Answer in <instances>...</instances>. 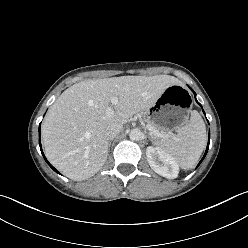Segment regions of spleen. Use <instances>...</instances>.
Wrapping results in <instances>:
<instances>
[{"instance_id":"spleen-1","label":"spleen","mask_w":248,"mask_h":248,"mask_svg":"<svg viewBox=\"0 0 248 248\" xmlns=\"http://www.w3.org/2000/svg\"><path fill=\"white\" fill-rule=\"evenodd\" d=\"M206 127L197 111H192L190 120L169 140L156 144L168 153L182 169H191L198 162L206 146Z\"/></svg>"}]
</instances>
